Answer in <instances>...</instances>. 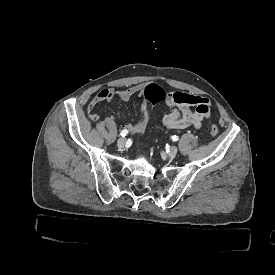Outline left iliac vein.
Instances as JSON below:
<instances>
[{
	"label": "left iliac vein",
	"instance_id": "4c4485c4",
	"mask_svg": "<svg viewBox=\"0 0 275 275\" xmlns=\"http://www.w3.org/2000/svg\"><path fill=\"white\" fill-rule=\"evenodd\" d=\"M178 153V148L176 146H171L170 147V155L171 156H176V154Z\"/></svg>",
	"mask_w": 275,
	"mask_h": 275
}]
</instances>
